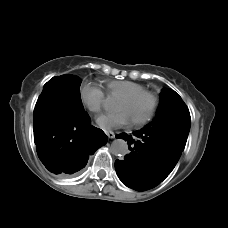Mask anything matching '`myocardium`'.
Here are the masks:
<instances>
[{
  "label": "myocardium",
  "mask_w": 228,
  "mask_h": 228,
  "mask_svg": "<svg viewBox=\"0 0 228 228\" xmlns=\"http://www.w3.org/2000/svg\"><path fill=\"white\" fill-rule=\"evenodd\" d=\"M149 99V106L147 110L141 114L136 115L134 112V106L142 99ZM157 105V98L149 91H145L139 95L130 97L121 106L120 109L136 124H142L148 121L155 112Z\"/></svg>",
  "instance_id": "obj_1"
}]
</instances>
